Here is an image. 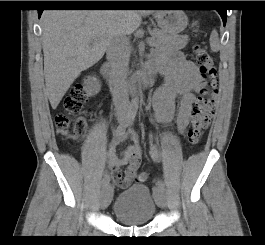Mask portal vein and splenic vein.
Returning a JSON list of instances; mask_svg holds the SVG:
<instances>
[{
  "mask_svg": "<svg viewBox=\"0 0 265 245\" xmlns=\"http://www.w3.org/2000/svg\"><path fill=\"white\" fill-rule=\"evenodd\" d=\"M149 44H151V45H154V43L152 42V40L151 39H148V41H147Z\"/></svg>",
  "mask_w": 265,
  "mask_h": 245,
  "instance_id": "18ae733b",
  "label": "portal vein and splenic vein"
}]
</instances>
